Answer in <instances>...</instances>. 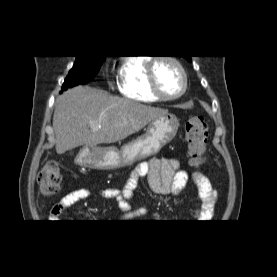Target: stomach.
<instances>
[{"mask_svg":"<svg viewBox=\"0 0 277 277\" xmlns=\"http://www.w3.org/2000/svg\"><path fill=\"white\" fill-rule=\"evenodd\" d=\"M179 120L173 114H166L152 120L146 133L123 146L116 148L85 147L77 157L81 165L98 169H116L132 164L135 160L157 154L176 135Z\"/></svg>","mask_w":277,"mask_h":277,"instance_id":"stomach-1","label":"stomach"}]
</instances>
